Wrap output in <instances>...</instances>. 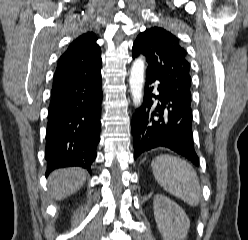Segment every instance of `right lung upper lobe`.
Listing matches in <instances>:
<instances>
[{"mask_svg": "<svg viewBox=\"0 0 248 240\" xmlns=\"http://www.w3.org/2000/svg\"><path fill=\"white\" fill-rule=\"evenodd\" d=\"M96 34L88 32L75 39L59 58L53 88L73 83L101 70V50Z\"/></svg>", "mask_w": 248, "mask_h": 240, "instance_id": "1", "label": "right lung upper lobe"}]
</instances>
